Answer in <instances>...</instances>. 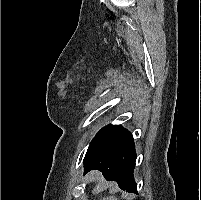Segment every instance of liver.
Wrapping results in <instances>:
<instances>
[{
  "label": "liver",
  "mask_w": 201,
  "mask_h": 200,
  "mask_svg": "<svg viewBox=\"0 0 201 200\" xmlns=\"http://www.w3.org/2000/svg\"><path fill=\"white\" fill-rule=\"evenodd\" d=\"M92 177V179H97L99 177L98 173H91L90 175ZM101 200H118L116 197L111 196V197H103L101 198Z\"/></svg>",
  "instance_id": "liver-1"
}]
</instances>
